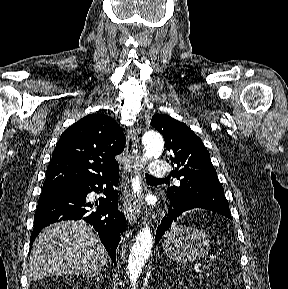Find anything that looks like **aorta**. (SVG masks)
Masks as SVG:
<instances>
[{"instance_id":"obj_1","label":"aorta","mask_w":288,"mask_h":289,"mask_svg":"<svg viewBox=\"0 0 288 289\" xmlns=\"http://www.w3.org/2000/svg\"><path fill=\"white\" fill-rule=\"evenodd\" d=\"M143 144L145 146V153L141 158L138 167L161 154L164 141L162 137L155 133L149 132L144 136ZM140 170V169H139ZM141 180L139 175H136L132 181V190L134 194L140 197L141 194ZM153 244L152 231L148 225H145L137 234L131 252L128 258V275L133 289H136L137 280L141 274L142 268L149 258Z\"/></svg>"}]
</instances>
